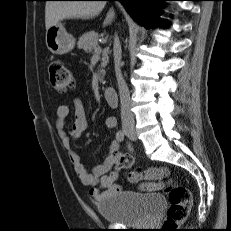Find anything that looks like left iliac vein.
Masks as SVG:
<instances>
[{"instance_id":"1","label":"left iliac vein","mask_w":231,"mask_h":231,"mask_svg":"<svg viewBox=\"0 0 231 231\" xmlns=\"http://www.w3.org/2000/svg\"><path fill=\"white\" fill-rule=\"evenodd\" d=\"M132 140H136V138L134 137V138H131Z\"/></svg>"}]
</instances>
